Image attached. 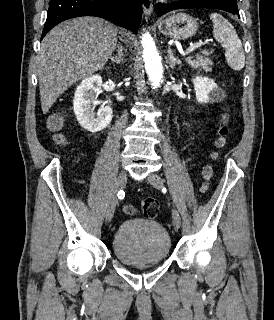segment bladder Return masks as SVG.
<instances>
[{
	"label": "bladder",
	"instance_id": "obj_1",
	"mask_svg": "<svg viewBox=\"0 0 274 320\" xmlns=\"http://www.w3.org/2000/svg\"><path fill=\"white\" fill-rule=\"evenodd\" d=\"M113 254L118 261L129 266L159 264L171 251V239L158 222L147 218L123 221L112 239Z\"/></svg>",
	"mask_w": 274,
	"mask_h": 320
}]
</instances>
